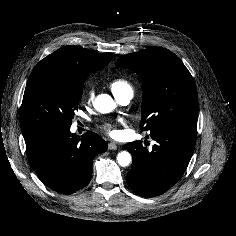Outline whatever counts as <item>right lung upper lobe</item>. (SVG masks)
<instances>
[{
  "instance_id": "right-lung-upper-lobe-1",
  "label": "right lung upper lobe",
  "mask_w": 236,
  "mask_h": 236,
  "mask_svg": "<svg viewBox=\"0 0 236 236\" xmlns=\"http://www.w3.org/2000/svg\"><path fill=\"white\" fill-rule=\"evenodd\" d=\"M115 54H101L79 46H64L42 59L31 75L47 74L75 79L104 68Z\"/></svg>"
}]
</instances>
